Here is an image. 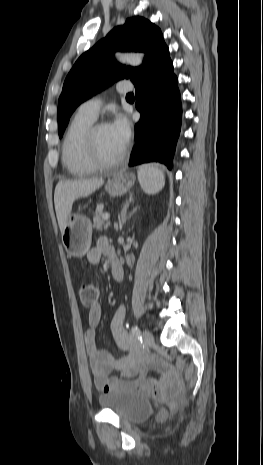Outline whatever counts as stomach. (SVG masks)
I'll list each match as a JSON object with an SVG mask.
<instances>
[{"mask_svg":"<svg viewBox=\"0 0 263 465\" xmlns=\"http://www.w3.org/2000/svg\"><path fill=\"white\" fill-rule=\"evenodd\" d=\"M135 177L127 172L115 174L105 186L111 196H121L134 185ZM92 238V225L83 215H70L62 232V243L66 252L73 257L81 258L89 250Z\"/></svg>","mask_w":263,"mask_h":465,"instance_id":"obj_1","label":"stomach"}]
</instances>
